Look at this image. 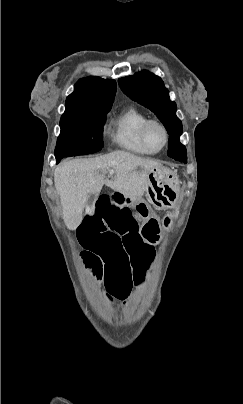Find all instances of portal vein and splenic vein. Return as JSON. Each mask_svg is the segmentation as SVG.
<instances>
[{
	"mask_svg": "<svg viewBox=\"0 0 243 404\" xmlns=\"http://www.w3.org/2000/svg\"><path fill=\"white\" fill-rule=\"evenodd\" d=\"M109 174H110V176H113L114 170H109Z\"/></svg>",
	"mask_w": 243,
	"mask_h": 404,
	"instance_id": "1",
	"label": "portal vein and splenic vein"
}]
</instances>
